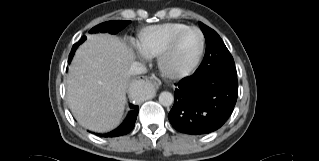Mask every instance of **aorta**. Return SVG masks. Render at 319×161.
Here are the masks:
<instances>
[{"label":"aorta","mask_w":319,"mask_h":161,"mask_svg":"<svg viewBox=\"0 0 319 161\" xmlns=\"http://www.w3.org/2000/svg\"><path fill=\"white\" fill-rule=\"evenodd\" d=\"M150 90H151V86L146 85L139 91L138 96L142 97V98H147L149 95L148 92ZM173 101H174V97L170 92H162L159 95V103L163 106L168 107V106L172 105Z\"/></svg>","instance_id":"obj_1"}]
</instances>
